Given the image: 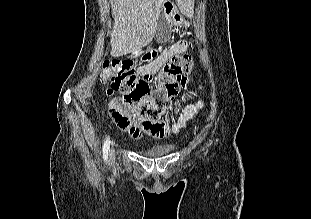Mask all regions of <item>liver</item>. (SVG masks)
I'll return each mask as SVG.
<instances>
[{
    "label": "liver",
    "instance_id": "liver-1",
    "mask_svg": "<svg viewBox=\"0 0 311 219\" xmlns=\"http://www.w3.org/2000/svg\"><path fill=\"white\" fill-rule=\"evenodd\" d=\"M168 0H111L114 28L111 55L119 57L147 46L157 31L161 8ZM179 10L192 17L193 0H175Z\"/></svg>",
    "mask_w": 311,
    "mask_h": 219
}]
</instances>
